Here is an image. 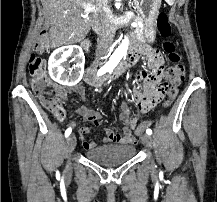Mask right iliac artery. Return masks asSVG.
<instances>
[{
	"label": "right iliac artery",
	"mask_w": 217,
	"mask_h": 202,
	"mask_svg": "<svg viewBox=\"0 0 217 202\" xmlns=\"http://www.w3.org/2000/svg\"><path fill=\"white\" fill-rule=\"evenodd\" d=\"M97 74H98V75H102V74H104V72L98 71ZM71 132H72V128L69 127V128L65 131V137L67 138V137L71 134Z\"/></svg>",
	"instance_id": "82829eb1"
}]
</instances>
